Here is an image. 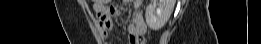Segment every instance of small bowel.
I'll return each mask as SVG.
<instances>
[{
	"mask_svg": "<svg viewBox=\"0 0 261 44\" xmlns=\"http://www.w3.org/2000/svg\"><path fill=\"white\" fill-rule=\"evenodd\" d=\"M141 2H133V11L128 24L129 43L136 44V40L145 35L147 26L140 10ZM98 16L100 34L103 38H108L114 28L113 15H119L120 9L117 6L106 4L105 6H94Z\"/></svg>",
	"mask_w": 261,
	"mask_h": 44,
	"instance_id": "obj_1",
	"label": "small bowel"
}]
</instances>
